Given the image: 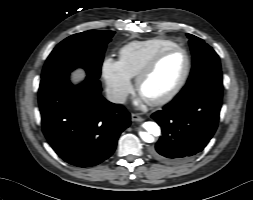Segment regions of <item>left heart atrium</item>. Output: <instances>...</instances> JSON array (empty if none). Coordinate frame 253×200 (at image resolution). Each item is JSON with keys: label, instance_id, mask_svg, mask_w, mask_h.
<instances>
[{"label": "left heart atrium", "instance_id": "39dd6f15", "mask_svg": "<svg viewBox=\"0 0 253 200\" xmlns=\"http://www.w3.org/2000/svg\"><path fill=\"white\" fill-rule=\"evenodd\" d=\"M144 101H146V99L140 94L137 103L140 104Z\"/></svg>", "mask_w": 253, "mask_h": 200}]
</instances>
